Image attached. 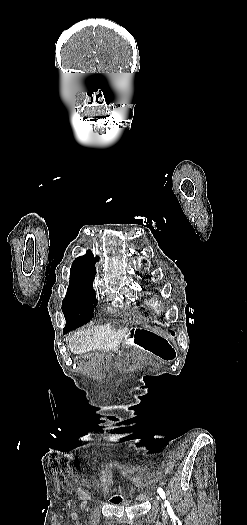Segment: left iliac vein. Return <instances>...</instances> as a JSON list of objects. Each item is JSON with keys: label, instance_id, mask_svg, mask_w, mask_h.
Wrapping results in <instances>:
<instances>
[{"label": "left iliac vein", "instance_id": "obj_1", "mask_svg": "<svg viewBox=\"0 0 247 525\" xmlns=\"http://www.w3.org/2000/svg\"><path fill=\"white\" fill-rule=\"evenodd\" d=\"M157 499H159V500H160V497H159V496H157Z\"/></svg>", "mask_w": 247, "mask_h": 525}]
</instances>
